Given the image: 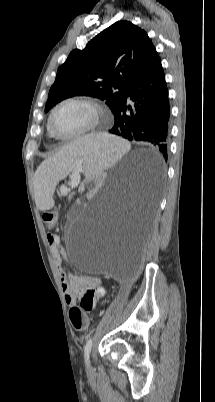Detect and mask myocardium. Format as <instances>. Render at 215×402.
I'll use <instances>...</instances> for the list:
<instances>
[{
  "label": "myocardium",
  "instance_id": "obj_1",
  "mask_svg": "<svg viewBox=\"0 0 215 402\" xmlns=\"http://www.w3.org/2000/svg\"><path fill=\"white\" fill-rule=\"evenodd\" d=\"M68 103H79V104H84L88 106L92 110V120L91 123L82 131L77 132L75 134L71 135H61L57 133L53 127V117L56 111L63 105L68 104ZM106 111L104 107L95 99L91 97H84V96H72V97H67L61 101H59L50 111L49 117H48V130L51 133V135L57 139L60 140H65V141H70V140H76L80 139L83 137H86L96 131L105 116Z\"/></svg>",
  "mask_w": 215,
  "mask_h": 402
}]
</instances>
